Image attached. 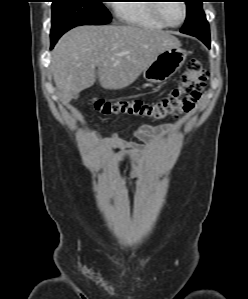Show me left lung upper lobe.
Here are the masks:
<instances>
[{
    "label": "left lung upper lobe",
    "mask_w": 248,
    "mask_h": 299,
    "mask_svg": "<svg viewBox=\"0 0 248 299\" xmlns=\"http://www.w3.org/2000/svg\"><path fill=\"white\" fill-rule=\"evenodd\" d=\"M184 2L187 5V17L181 32L195 36L207 45L210 41L209 24L202 8V0H184Z\"/></svg>",
    "instance_id": "5c2ea615"
}]
</instances>
